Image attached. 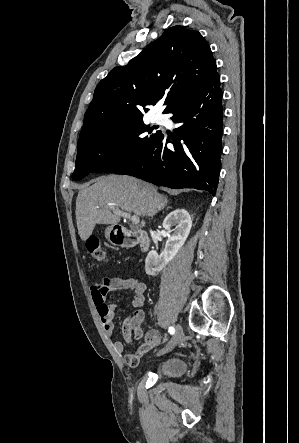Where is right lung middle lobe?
<instances>
[{"mask_svg":"<svg viewBox=\"0 0 299 443\" xmlns=\"http://www.w3.org/2000/svg\"><path fill=\"white\" fill-rule=\"evenodd\" d=\"M143 118L122 121L98 128L78 140L75 181L90 172H115L145 153L161 131L151 133Z\"/></svg>","mask_w":299,"mask_h":443,"instance_id":"dd1d6c3e","label":"right lung middle lobe"}]
</instances>
